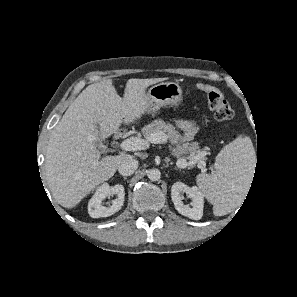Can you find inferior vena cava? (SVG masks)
Returning <instances> with one entry per match:
<instances>
[{"mask_svg": "<svg viewBox=\"0 0 297 297\" xmlns=\"http://www.w3.org/2000/svg\"><path fill=\"white\" fill-rule=\"evenodd\" d=\"M138 168V161L133 158L125 159L118 167V171L123 176L132 175Z\"/></svg>", "mask_w": 297, "mask_h": 297, "instance_id": "obj_1", "label": "inferior vena cava"}]
</instances>
